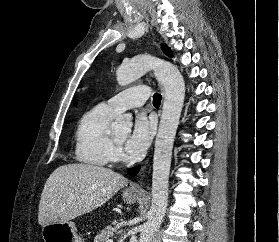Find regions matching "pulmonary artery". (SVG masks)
Returning a JSON list of instances; mask_svg holds the SVG:
<instances>
[{"instance_id": "e3ab8cb5", "label": "pulmonary artery", "mask_w": 279, "mask_h": 242, "mask_svg": "<svg viewBox=\"0 0 279 242\" xmlns=\"http://www.w3.org/2000/svg\"><path fill=\"white\" fill-rule=\"evenodd\" d=\"M149 95V87L139 85L116 94L105 105L118 114L128 108L142 106L149 98Z\"/></svg>"}]
</instances>
